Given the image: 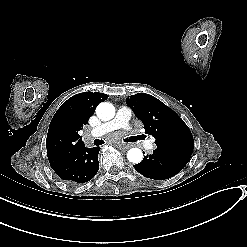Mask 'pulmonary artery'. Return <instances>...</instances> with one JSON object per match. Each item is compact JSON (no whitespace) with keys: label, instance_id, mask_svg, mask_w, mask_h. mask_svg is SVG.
<instances>
[{"label":"pulmonary artery","instance_id":"obj_1","mask_svg":"<svg viewBox=\"0 0 247 247\" xmlns=\"http://www.w3.org/2000/svg\"><path fill=\"white\" fill-rule=\"evenodd\" d=\"M132 110L126 105L119 106L116 115L113 120L103 123L101 125H98L96 127L91 126L88 129L89 134L94 135L96 133H107L109 131H114L117 128H128L129 127V121L132 117ZM87 139L90 140L91 136H87ZM155 139L151 138L144 142L143 147L144 150L151 153L156 148V143L154 141Z\"/></svg>","mask_w":247,"mask_h":247}]
</instances>
